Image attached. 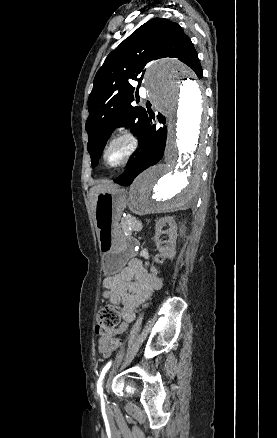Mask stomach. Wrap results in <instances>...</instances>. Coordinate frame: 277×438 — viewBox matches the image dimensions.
Here are the masks:
<instances>
[{
    "label": "stomach",
    "mask_w": 277,
    "mask_h": 438,
    "mask_svg": "<svg viewBox=\"0 0 277 438\" xmlns=\"http://www.w3.org/2000/svg\"><path fill=\"white\" fill-rule=\"evenodd\" d=\"M126 205L125 190L119 187L99 193L96 197L95 226L99 249L103 254V270L107 275L120 272L132 253L131 239L118 227Z\"/></svg>",
    "instance_id": "1"
}]
</instances>
